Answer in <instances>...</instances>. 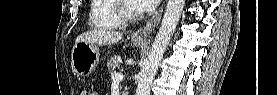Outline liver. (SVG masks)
I'll list each match as a JSON object with an SVG mask.
<instances>
[{
	"mask_svg": "<svg viewBox=\"0 0 277 95\" xmlns=\"http://www.w3.org/2000/svg\"><path fill=\"white\" fill-rule=\"evenodd\" d=\"M123 37L120 32H111L105 30H94L80 34L75 41V44L81 41L89 44L97 45H112L118 43Z\"/></svg>",
	"mask_w": 277,
	"mask_h": 95,
	"instance_id": "6515ba94",
	"label": "liver"
}]
</instances>
